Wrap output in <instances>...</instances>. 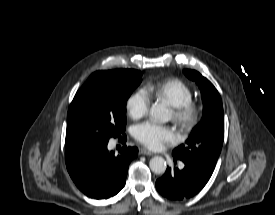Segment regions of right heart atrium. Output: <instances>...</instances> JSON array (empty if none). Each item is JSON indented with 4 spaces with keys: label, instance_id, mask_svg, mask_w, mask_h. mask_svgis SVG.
Here are the masks:
<instances>
[{
    "label": "right heart atrium",
    "instance_id": "d8ad5b80",
    "mask_svg": "<svg viewBox=\"0 0 275 215\" xmlns=\"http://www.w3.org/2000/svg\"><path fill=\"white\" fill-rule=\"evenodd\" d=\"M150 107V98L145 90L139 89L133 92L127 100L126 109L132 119L144 117Z\"/></svg>",
    "mask_w": 275,
    "mask_h": 215
}]
</instances>
